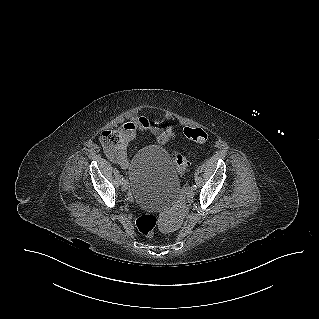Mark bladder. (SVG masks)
<instances>
[{"mask_svg": "<svg viewBox=\"0 0 319 319\" xmlns=\"http://www.w3.org/2000/svg\"><path fill=\"white\" fill-rule=\"evenodd\" d=\"M127 174L135 202L150 211H162L176 199L179 176L163 147L152 145L139 150L128 163Z\"/></svg>", "mask_w": 319, "mask_h": 319, "instance_id": "1", "label": "bladder"}]
</instances>
